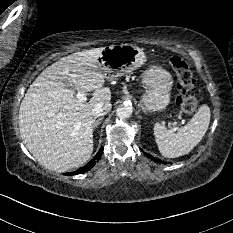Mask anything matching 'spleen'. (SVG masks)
<instances>
[{"mask_svg":"<svg viewBox=\"0 0 233 233\" xmlns=\"http://www.w3.org/2000/svg\"><path fill=\"white\" fill-rule=\"evenodd\" d=\"M210 108L202 105L188 124L177 132L168 130L166 126L155 123L154 136L160 153L167 158H175L188 154L197 146L208 130Z\"/></svg>","mask_w":233,"mask_h":233,"instance_id":"obj_1","label":"spleen"}]
</instances>
